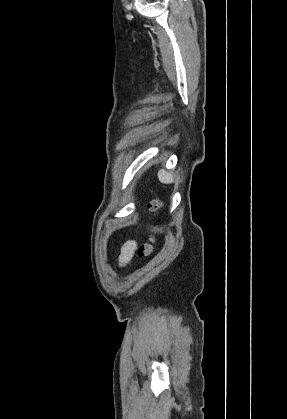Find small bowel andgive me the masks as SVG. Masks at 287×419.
<instances>
[{"instance_id": "c3829d8e", "label": "small bowel", "mask_w": 287, "mask_h": 419, "mask_svg": "<svg viewBox=\"0 0 287 419\" xmlns=\"http://www.w3.org/2000/svg\"><path fill=\"white\" fill-rule=\"evenodd\" d=\"M135 247L136 243L134 241H129L123 245L119 257V262L121 265H126L130 262Z\"/></svg>"}]
</instances>
